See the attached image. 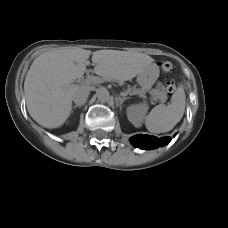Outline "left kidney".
<instances>
[{
    "mask_svg": "<svg viewBox=\"0 0 228 228\" xmlns=\"http://www.w3.org/2000/svg\"><path fill=\"white\" fill-rule=\"evenodd\" d=\"M147 107L144 104L132 105L127 108L128 120L135 126L140 127Z\"/></svg>",
    "mask_w": 228,
    "mask_h": 228,
    "instance_id": "left-kidney-1",
    "label": "left kidney"
}]
</instances>
